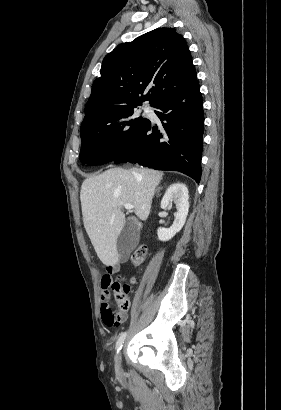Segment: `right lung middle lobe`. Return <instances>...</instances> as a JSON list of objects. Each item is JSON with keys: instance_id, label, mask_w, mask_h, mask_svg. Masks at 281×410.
Instances as JSON below:
<instances>
[{"instance_id": "dd1d6c3e", "label": "right lung middle lobe", "mask_w": 281, "mask_h": 410, "mask_svg": "<svg viewBox=\"0 0 281 410\" xmlns=\"http://www.w3.org/2000/svg\"><path fill=\"white\" fill-rule=\"evenodd\" d=\"M136 106L108 111L81 125V163L98 165L114 161L131 144L149 122L134 115Z\"/></svg>"}]
</instances>
